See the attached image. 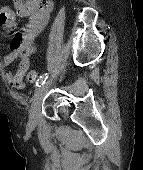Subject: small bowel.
Here are the masks:
<instances>
[{
	"label": "small bowel",
	"mask_w": 143,
	"mask_h": 170,
	"mask_svg": "<svg viewBox=\"0 0 143 170\" xmlns=\"http://www.w3.org/2000/svg\"><path fill=\"white\" fill-rule=\"evenodd\" d=\"M53 9V0H13V8L0 6V23L6 28L16 26L17 16L29 18L22 29L12 37L9 43L10 52L0 60V66L4 68L17 62L14 72L5 73V78L12 87L24 88V78L35 51V39L47 25Z\"/></svg>",
	"instance_id": "1"
}]
</instances>
